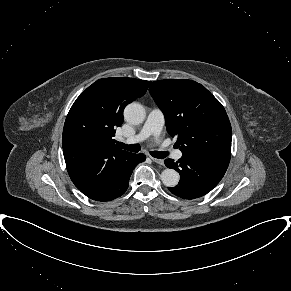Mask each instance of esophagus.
I'll list each match as a JSON object with an SVG mask.
<instances>
[{"label":"esophagus","instance_id":"1","mask_svg":"<svg viewBox=\"0 0 291 291\" xmlns=\"http://www.w3.org/2000/svg\"><path fill=\"white\" fill-rule=\"evenodd\" d=\"M152 161L159 164V165H164V161L162 159L154 158L151 157Z\"/></svg>","mask_w":291,"mask_h":291}]
</instances>
